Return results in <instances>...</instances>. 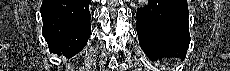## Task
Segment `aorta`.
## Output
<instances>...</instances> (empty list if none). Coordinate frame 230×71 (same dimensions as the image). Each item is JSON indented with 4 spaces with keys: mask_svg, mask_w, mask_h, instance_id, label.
I'll return each mask as SVG.
<instances>
[{
    "mask_svg": "<svg viewBox=\"0 0 230 71\" xmlns=\"http://www.w3.org/2000/svg\"><path fill=\"white\" fill-rule=\"evenodd\" d=\"M141 6H146L148 4V0H138Z\"/></svg>",
    "mask_w": 230,
    "mask_h": 71,
    "instance_id": "aorta-1",
    "label": "aorta"
}]
</instances>
